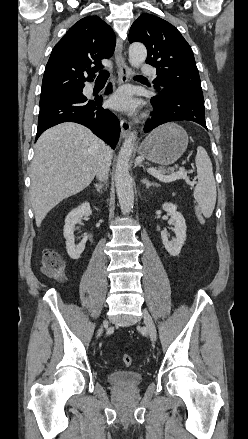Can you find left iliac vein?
Here are the masks:
<instances>
[{
	"mask_svg": "<svg viewBox=\"0 0 248 439\" xmlns=\"http://www.w3.org/2000/svg\"><path fill=\"white\" fill-rule=\"evenodd\" d=\"M143 319H144L145 326L149 332L150 338L154 342L156 340V335H157L156 327L154 325V322H153L151 316L145 310L143 311Z\"/></svg>",
	"mask_w": 248,
	"mask_h": 439,
	"instance_id": "left-iliac-vein-1",
	"label": "left iliac vein"
}]
</instances>
